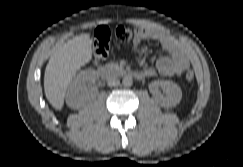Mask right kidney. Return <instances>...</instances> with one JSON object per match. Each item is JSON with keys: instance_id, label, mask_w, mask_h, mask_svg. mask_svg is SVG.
<instances>
[{"instance_id": "obj_1", "label": "right kidney", "mask_w": 243, "mask_h": 167, "mask_svg": "<svg viewBox=\"0 0 243 167\" xmlns=\"http://www.w3.org/2000/svg\"><path fill=\"white\" fill-rule=\"evenodd\" d=\"M98 78L95 70L80 72L71 82L66 93V104L72 109H79L94 96L88 85L94 84Z\"/></svg>"}]
</instances>
